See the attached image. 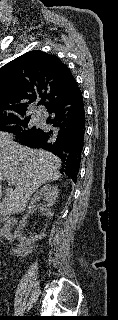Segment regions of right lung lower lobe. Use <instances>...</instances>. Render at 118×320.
<instances>
[{"label": "right lung lower lobe", "instance_id": "98d812e1", "mask_svg": "<svg viewBox=\"0 0 118 320\" xmlns=\"http://www.w3.org/2000/svg\"><path fill=\"white\" fill-rule=\"evenodd\" d=\"M46 123L34 135L19 138L17 142L31 148H43L57 155L62 161L61 173L74 182L80 168L85 135V108L82 92L51 105Z\"/></svg>", "mask_w": 118, "mask_h": 320}]
</instances>
